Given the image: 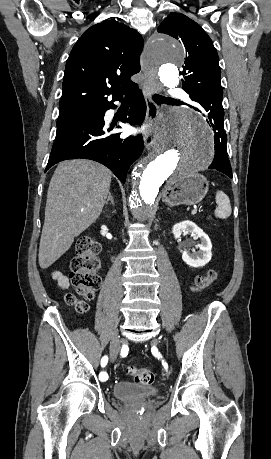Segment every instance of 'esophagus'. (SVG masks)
<instances>
[{"mask_svg": "<svg viewBox=\"0 0 271 459\" xmlns=\"http://www.w3.org/2000/svg\"><path fill=\"white\" fill-rule=\"evenodd\" d=\"M138 65L139 68L142 69L144 76V96L147 106L145 119L148 124V128L145 131L144 144L147 150H151L156 141L155 126L159 113L158 105L152 99L153 93H156L157 91L156 81L151 60H140Z\"/></svg>", "mask_w": 271, "mask_h": 459, "instance_id": "1", "label": "esophagus"}]
</instances>
